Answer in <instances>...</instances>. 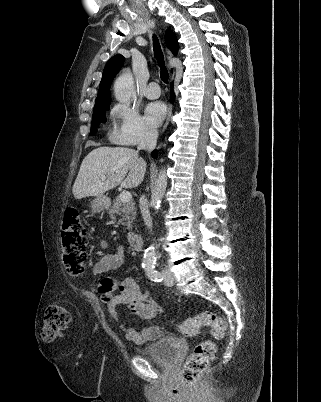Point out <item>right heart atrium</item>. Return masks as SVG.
I'll return each instance as SVG.
<instances>
[{
    "mask_svg": "<svg viewBox=\"0 0 321 402\" xmlns=\"http://www.w3.org/2000/svg\"><path fill=\"white\" fill-rule=\"evenodd\" d=\"M110 117L113 122L111 138L119 144L138 146L153 142L156 138V131L133 106L118 103L112 107Z\"/></svg>",
    "mask_w": 321,
    "mask_h": 402,
    "instance_id": "d8ad5b80",
    "label": "right heart atrium"
}]
</instances>
